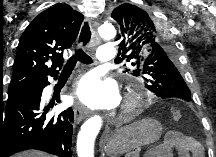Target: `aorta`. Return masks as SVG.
<instances>
[{
    "label": "aorta",
    "instance_id": "obj_1",
    "mask_svg": "<svg viewBox=\"0 0 216 157\" xmlns=\"http://www.w3.org/2000/svg\"><path fill=\"white\" fill-rule=\"evenodd\" d=\"M102 39L110 40L116 35V29L112 23H104L99 27ZM102 126V118L95 115L86 120L81 126L77 139L78 157H94V141Z\"/></svg>",
    "mask_w": 216,
    "mask_h": 157
}]
</instances>
